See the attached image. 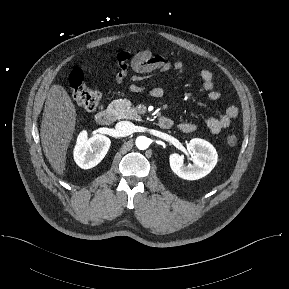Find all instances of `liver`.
<instances>
[{"label":"liver","mask_w":289,"mask_h":289,"mask_svg":"<svg viewBox=\"0 0 289 289\" xmlns=\"http://www.w3.org/2000/svg\"><path fill=\"white\" fill-rule=\"evenodd\" d=\"M76 109L67 91L53 85L48 91L41 123V142L54 171L64 176L66 154L76 125Z\"/></svg>","instance_id":"liver-1"}]
</instances>
